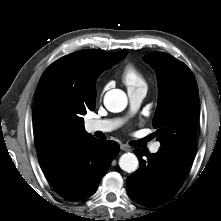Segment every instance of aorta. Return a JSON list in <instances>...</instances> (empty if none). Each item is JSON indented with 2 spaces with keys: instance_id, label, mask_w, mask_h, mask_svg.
Listing matches in <instances>:
<instances>
[{
  "instance_id": "obj_1",
  "label": "aorta",
  "mask_w": 221,
  "mask_h": 221,
  "mask_svg": "<svg viewBox=\"0 0 221 221\" xmlns=\"http://www.w3.org/2000/svg\"><path fill=\"white\" fill-rule=\"evenodd\" d=\"M128 100L124 91L120 89L109 90L104 96V105L110 112L118 113L127 106ZM139 165L138 158L133 153H125L119 159V166L128 173L137 170Z\"/></svg>"
}]
</instances>
